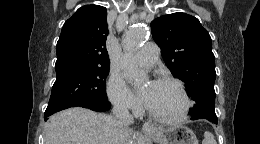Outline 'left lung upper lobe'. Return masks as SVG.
I'll return each instance as SVG.
<instances>
[{"label":"left lung upper lobe","mask_w":260,"mask_h":144,"mask_svg":"<svg viewBox=\"0 0 260 144\" xmlns=\"http://www.w3.org/2000/svg\"><path fill=\"white\" fill-rule=\"evenodd\" d=\"M151 32L165 64L175 78L186 83L188 96L196 102L190 109L191 118L216 116L215 57L206 29L197 18L178 12L154 19Z\"/></svg>","instance_id":"1"}]
</instances>
